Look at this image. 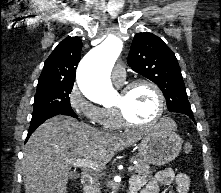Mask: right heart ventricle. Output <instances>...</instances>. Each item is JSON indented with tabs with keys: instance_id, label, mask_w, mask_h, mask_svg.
I'll list each match as a JSON object with an SVG mask.
<instances>
[{
	"instance_id": "right-heart-ventricle-1",
	"label": "right heart ventricle",
	"mask_w": 221,
	"mask_h": 193,
	"mask_svg": "<svg viewBox=\"0 0 221 193\" xmlns=\"http://www.w3.org/2000/svg\"><path fill=\"white\" fill-rule=\"evenodd\" d=\"M103 119L101 124L111 130H116L122 127L117 113L114 108H102Z\"/></svg>"
}]
</instances>
